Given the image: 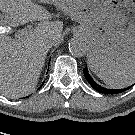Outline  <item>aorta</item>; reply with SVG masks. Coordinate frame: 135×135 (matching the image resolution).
Returning a JSON list of instances; mask_svg holds the SVG:
<instances>
[{
    "mask_svg": "<svg viewBox=\"0 0 135 135\" xmlns=\"http://www.w3.org/2000/svg\"><path fill=\"white\" fill-rule=\"evenodd\" d=\"M69 51L76 57H83L87 52V45L81 38H72L69 42Z\"/></svg>",
    "mask_w": 135,
    "mask_h": 135,
    "instance_id": "obj_1",
    "label": "aorta"
}]
</instances>
